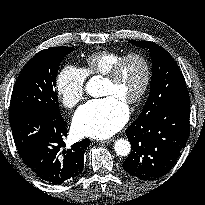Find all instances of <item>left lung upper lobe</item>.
Returning a JSON list of instances; mask_svg holds the SVG:
<instances>
[{"mask_svg": "<svg viewBox=\"0 0 205 205\" xmlns=\"http://www.w3.org/2000/svg\"><path fill=\"white\" fill-rule=\"evenodd\" d=\"M129 42L138 47L149 49L152 58L150 94L142 112L135 121H144L155 116L161 109L174 101L189 99L182 72L164 48L154 42L135 40Z\"/></svg>", "mask_w": 205, "mask_h": 205, "instance_id": "1", "label": "left lung upper lobe"}]
</instances>
